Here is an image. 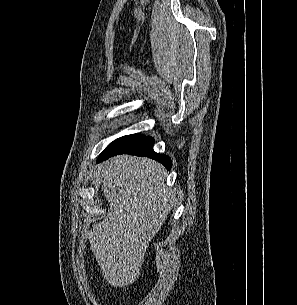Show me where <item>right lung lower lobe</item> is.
I'll use <instances>...</instances> for the list:
<instances>
[{"mask_svg":"<svg viewBox=\"0 0 297 305\" xmlns=\"http://www.w3.org/2000/svg\"><path fill=\"white\" fill-rule=\"evenodd\" d=\"M154 139L152 137H143L132 146L122 148H106L98 157L97 163L102 162L117 154H130L136 156H146L162 163L168 170L172 167L171 159L162 154H157L153 150Z\"/></svg>","mask_w":297,"mask_h":305,"instance_id":"1","label":"right lung lower lobe"}]
</instances>
